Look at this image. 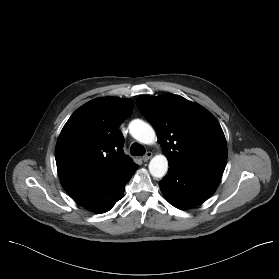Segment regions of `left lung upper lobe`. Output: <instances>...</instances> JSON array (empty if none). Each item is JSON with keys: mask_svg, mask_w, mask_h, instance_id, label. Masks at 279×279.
Returning <instances> with one entry per match:
<instances>
[{"mask_svg": "<svg viewBox=\"0 0 279 279\" xmlns=\"http://www.w3.org/2000/svg\"><path fill=\"white\" fill-rule=\"evenodd\" d=\"M141 113L157 132L169 164L223 173L227 144L216 118L204 107L182 96H139Z\"/></svg>", "mask_w": 279, "mask_h": 279, "instance_id": "left-lung-upper-lobe-1", "label": "left lung upper lobe"}]
</instances>
